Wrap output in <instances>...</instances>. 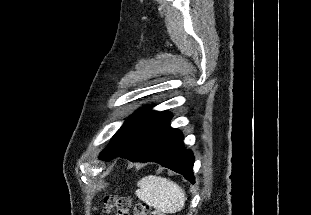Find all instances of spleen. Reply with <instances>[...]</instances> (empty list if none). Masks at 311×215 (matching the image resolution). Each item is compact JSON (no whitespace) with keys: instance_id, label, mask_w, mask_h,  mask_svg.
I'll return each instance as SVG.
<instances>
[{"instance_id":"3e777b00","label":"spleen","mask_w":311,"mask_h":215,"mask_svg":"<svg viewBox=\"0 0 311 215\" xmlns=\"http://www.w3.org/2000/svg\"><path fill=\"white\" fill-rule=\"evenodd\" d=\"M136 196L162 213H176L185 205L184 190L170 179L149 175L137 183ZM163 215V214H162Z\"/></svg>"}]
</instances>
